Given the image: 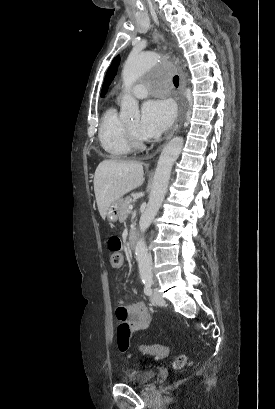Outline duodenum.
Segmentation results:
<instances>
[{"mask_svg":"<svg viewBox=\"0 0 275 409\" xmlns=\"http://www.w3.org/2000/svg\"><path fill=\"white\" fill-rule=\"evenodd\" d=\"M137 241V231L136 229H132L128 236V246L130 249H134L136 246Z\"/></svg>","mask_w":275,"mask_h":409,"instance_id":"obj_1","label":"duodenum"}]
</instances>
